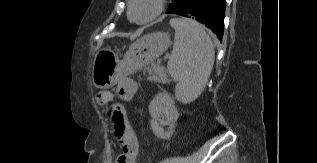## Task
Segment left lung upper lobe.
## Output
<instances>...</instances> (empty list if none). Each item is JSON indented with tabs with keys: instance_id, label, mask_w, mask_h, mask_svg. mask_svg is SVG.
<instances>
[{
	"instance_id": "left-lung-upper-lobe-1",
	"label": "left lung upper lobe",
	"mask_w": 317,
	"mask_h": 163,
	"mask_svg": "<svg viewBox=\"0 0 317 163\" xmlns=\"http://www.w3.org/2000/svg\"><path fill=\"white\" fill-rule=\"evenodd\" d=\"M172 1L173 3L169 5L168 10L166 12L167 14H170L172 11H174L181 0H172Z\"/></svg>"
}]
</instances>
